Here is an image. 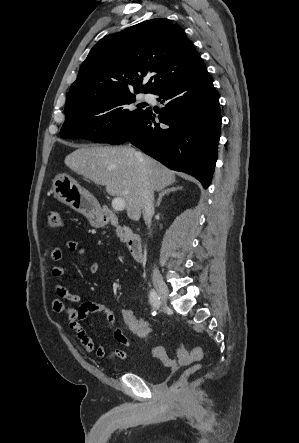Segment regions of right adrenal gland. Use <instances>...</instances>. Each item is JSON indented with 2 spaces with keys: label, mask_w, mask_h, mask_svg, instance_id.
<instances>
[{
  "label": "right adrenal gland",
  "mask_w": 299,
  "mask_h": 443,
  "mask_svg": "<svg viewBox=\"0 0 299 443\" xmlns=\"http://www.w3.org/2000/svg\"><path fill=\"white\" fill-rule=\"evenodd\" d=\"M177 190H182V187H180V186L172 187V188H168V189L160 192L155 206L159 207L164 196L169 195L171 192H175Z\"/></svg>",
  "instance_id": "2a0ac1e0"
}]
</instances>
